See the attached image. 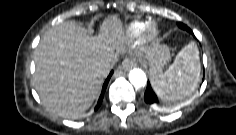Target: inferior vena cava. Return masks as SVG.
Instances as JSON below:
<instances>
[{
    "instance_id": "inferior-vena-cava-1",
    "label": "inferior vena cava",
    "mask_w": 236,
    "mask_h": 135,
    "mask_svg": "<svg viewBox=\"0 0 236 135\" xmlns=\"http://www.w3.org/2000/svg\"><path fill=\"white\" fill-rule=\"evenodd\" d=\"M114 64H115V58H111L108 61H106L105 67L107 69H110V68H112L114 66Z\"/></svg>"
}]
</instances>
